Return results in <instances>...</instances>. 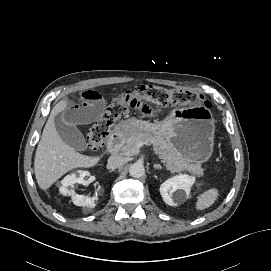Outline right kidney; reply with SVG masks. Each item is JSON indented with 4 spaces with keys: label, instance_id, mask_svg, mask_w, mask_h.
Here are the masks:
<instances>
[{
    "label": "right kidney",
    "instance_id": "right-kidney-1",
    "mask_svg": "<svg viewBox=\"0 0 271 271\" xmlns=\"http://www.w3.org/2000/svg\"><path fill=\"white\" fill-rule=\"evenodd\" d=\"M90 176V173L88 171H77L76 173H72L71 175H67L64 177V179L61 181L60 186V193L65 196H71L72 201L77 206H90L95 207L98 197H88L84 195H78L73 189H70L69 187H74V184L76 183H82L83 185L89 184V180H85V177Z\"/></svg>",
    "mask_w": 271,
    "mask_h": 271
}]
</instances>
